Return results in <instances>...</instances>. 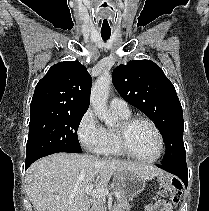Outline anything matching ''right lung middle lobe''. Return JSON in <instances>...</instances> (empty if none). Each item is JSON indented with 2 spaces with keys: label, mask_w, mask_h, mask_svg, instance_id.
I'll return each instance as SVG.
<instances>
[{
  "label": "right lung middle lobe",
  "mask_w": 209,
  "mask_h": 211,
  "mask_svg": "<svg viewBox=\"0 0 209 211\" xmlns=\"http://www.w3.org/2000/svg\"><path fill=\"white\" fill-rule=\"evenodd\" d=\"M84 113L30 115L26 163L58 152L82 153L77 130Z\"/></svg>",
  "instance_id": "dd1d6c3e"
}]
</instances>
